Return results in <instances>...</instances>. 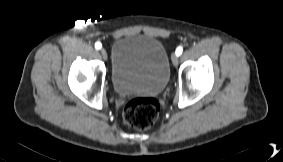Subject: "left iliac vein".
Masks as SVG:
<instances>
[{"label":"left iliac vein","mask_w":283,"mask_h":162,"mask_svg":"<svg viewBox=\"0 0 283 162\" xmlns=\"http://www.w3.org/2000/svg\"><path fill=\"white\" fill-rule=\"evenodd\" d=\"M171 60H172V63L174 66H177L178 65V56L176 54H172L171 56Z\"/></svg>","instance_id":"4c4485c4"}]
</instances>
